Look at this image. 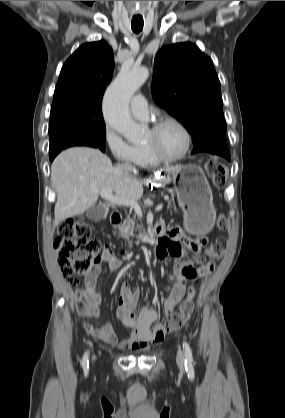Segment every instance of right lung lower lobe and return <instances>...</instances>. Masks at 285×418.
I'll use <instances>...</instances> for the list:
<instances>
[{
    "label": "right lung lower lobe",
    "mask_w": 285,
    "mask_h": 418,
    "mask_svg": "<svg viewBox=\"0 0 285 418\" xmlns=\"http://www.w3.org/2000/svg\"><path fill=\"white\" fill-rule=\"evenodd\" d=\"M81 146H90V147H95V146H91V145H81ZM95 148H98V147H95ZM55 158V156L54 157H50V160L51 161H53V159Z\"/></svg>",
    "instance_id": "right-lung-lower-lobe-1"
}]
</instances>
